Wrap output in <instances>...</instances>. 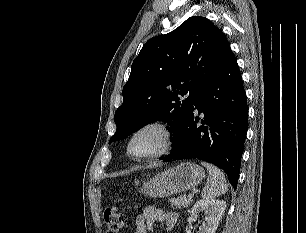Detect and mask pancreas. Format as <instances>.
<instances>
[{"instance_id":"1","label":"pancreas","mask_w":306,"mask_h":233,"mask_svg":"<svg viewBox=\"0 0 306 233\" xmlns=\"http://www.w3.org/2000/svg\"><path fill=\"white\" fill-rule=\"evenodd\" d=\"M171 203V206L176 208H182V207H188L192 203V198H189V196H179L177 198H172L169 200Z\"/></svg>"}]
</instances>
